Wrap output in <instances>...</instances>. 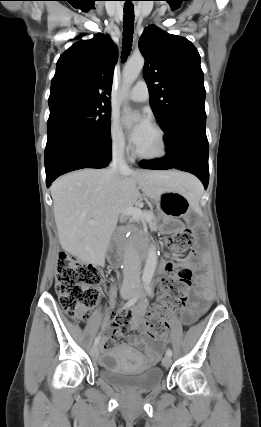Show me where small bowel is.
<instances>
[{
	"mask_svg": "<svg viewBox=\"0 0 261 427\" xmlns=\"http://www.w3.org/2000/svg\"><path fill=\"white\" fill-rule=\"evenodd\" d=\"M195 255L191 254L187 258L179 262L180 265L187 268H195ZM173 262L163 261L160 264V270L163 274L160 278L161 291L163 294L166 293L163 287V281L169 273V268L175 266ZM196 283L199 285V289L195 292V296L199 299L198 302H195L190 309L185 312L184 321L186 323L192 322L197 316L203 314L214 296V290L212 282L208 275H201L196 279ZM148 302L145 300L140 303L138 306H135L129 310L118 314V311L115 309L113 303L107 304V310L111 316H115V321L112 327L104 333L105 340L103 342V348L105 350L111 348L118 338L122 337L128 326L132 327L135 331H140V335H129L128 343L135 347L136 349L143 351L146 355L144 358L140 353L136 352L133 354V357L137 362H142L146 366H153L157 364L160 359L161 354V345L156 344L157 341L165 343L167 341V336L162 335L158 338L148 339L143 333L145 331V320L144 314L147 310ZM117 315V316H116Z\"/></svg>",
	"mask_w": 261,
	"mask_h": 427,
	"instance_id": "small-bowel-1",
	"label": "small bowel"
}]
</instances>
